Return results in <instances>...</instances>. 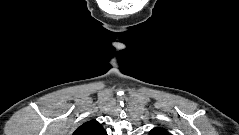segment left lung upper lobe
I'll use <instances>...</instances> for the list:
<instances>
[{
  "label": "left lung upper lobe",
  "mask_w": 239,
  "mask_h": 135,
  "mask_svg": "<svg viewBox=\"0 0 239 135\" xmlns=\"http://www.w3.org/2000/svg\"><path fill=\"white\" fill-rule=\"evenodd\" d=\"M151 135H168V132L163 128H154L150 131Z\"/></svg>",
  "instance_id": "obj_1"
}]
</instances>
